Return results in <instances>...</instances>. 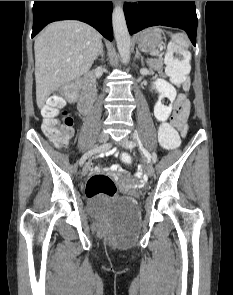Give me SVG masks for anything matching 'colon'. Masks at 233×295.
Instances as JSON below:
<instances>
[{
	"instance_id": "colon-1",
	"label": "colon",
	"mask_w": 233,
	"mask_h": 295,
	"mask_svg": "<svg viewBox=\"0 0 233 295\" xmlns=\"http://www.w3.org/2000/svg\"><path fill=\"white\" fill-rule=\"evenodd\" d=\"M189 59L188 51L181 44L173 45L168 52L166 56L167 73L175 84L187 86ZM80 86L79 81L67 83L49 97L43 108L45 117L43 131L57 146L67 144L72 136L73 120L65 109V98L75 96ZM158 139L160 145L166 150L177 149L180 145L177 131L168 123L160 125ZM121 160L126 165L132 163V158L128 153H123ZM116 190L113 180L103 174L92 175L86 184V194L91 199H112L116 195Z\"/></svg>"
}]
</instances>
